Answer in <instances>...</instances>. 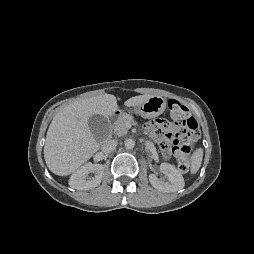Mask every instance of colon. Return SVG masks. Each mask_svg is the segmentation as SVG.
I'll use <instances>...</instances> for the list:
<instances>
[{"label":"colon","instance_id":"1","mask_svg":"<svg viewBox=\"0 0 254 254\" xmlns=\"http://www.w3.org/2000/svg\"><path fill=\"white\" fill-rule=\"evenodd\" d=\"M170 120L166 123L178 126L174 131L168 132L169 141L173 145L174 156L177 159L179 169L187 172L190 169L188 154L191 151V143L196 141L200 135L199 124L195 118L190 116L189 109L175 99L168 101Z\"/></svg>","mask_w":254,"mask_h":254}]
</instances>
